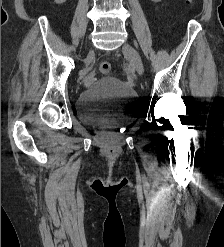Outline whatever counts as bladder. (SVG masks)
<instances>
[{
  "label": "bladder",
  "instance_id": "obj_1",
  "mask_svg": "<svg viewBox=\"0 0 224 247\" xmlns=\"http://www.w3.org/2000/svg\"><path fill=\"white\" fill-rule=\"evenodd\" d=\"M138 108L137 93L113 78H101L81 93L77 114L85 124L114 130L131 123Z\"/></svg>",
  "mask_w": 224,
  "mask_h": 247
}]
</instances>
